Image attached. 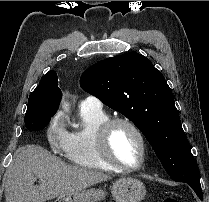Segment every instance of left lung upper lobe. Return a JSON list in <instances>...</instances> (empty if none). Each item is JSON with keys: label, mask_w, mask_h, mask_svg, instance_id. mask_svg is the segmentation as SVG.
Masks as SVG:
<instances>
[{"label": "left lung upper lobe", "mask_w": 209, "mask_h": 202, "mask_svg": "<svg viewBox=\"0 0 209 202\" xmlns=\"http://www.w3.org/2000/svg\"><path fill=\"white\" fill-rule=\"evenodd\" d=\"M80 86L140 129L173 180H200L173 93L148 58L129 52L99 61L82 74Z\"/></svg>", "instance_id": "1"}]
</instances>
